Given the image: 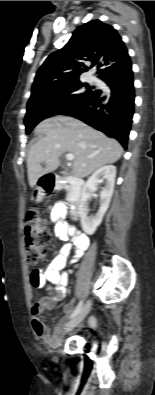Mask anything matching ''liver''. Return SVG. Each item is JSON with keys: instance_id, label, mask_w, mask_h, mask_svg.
<instances>
[{"instance_id": "liver-1", "label": "liver", "mask_w": 155, "mask_h": 395, "mask_svg": "<svg viewBox=\"0 0 155 395\" xmlns=\"http://www.w3.org/2000/svg\"><path fill=\"white\" fill-rule=\"evenodd\" d=\"M36 134H44L28 152L27 170L30 187L59 166V158L64 153L74 155L72 173L84 178L100 167L113 164L120 159L123 148L115 139L88 126L84 122L68 116H56L40 122ZM41 163H45V168Z\"/></svg>"}]
</instances>
